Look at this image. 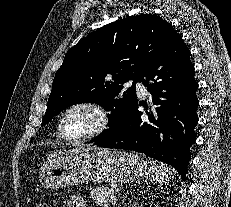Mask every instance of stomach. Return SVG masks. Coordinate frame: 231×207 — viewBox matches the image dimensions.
Returning a JSON list of instances; mask_svg holds the SVG:
<instances>
[{
  "mask_svg": "<svg viewBox=\"0 0 231 207\" xmlns=\"http://www.w3.org/2000/svg\"><path fill=\"white\" fill-rule=\"evenodd\" d=\"M149 163L138 154L120 150L74 149L61 153L43 168L44 188L94 183H140L151 174Z\"/></svg>",
  "mask_w": 231,
  "mask_h": 207,
  "instance_id": "1",
  "label": "stomach"
}]
</instances>
